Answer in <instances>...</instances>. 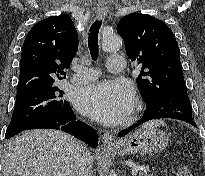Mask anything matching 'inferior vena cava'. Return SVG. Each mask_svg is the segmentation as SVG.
Instances as JSON below:
<instances>
[{
    "label": "inferior vena cava",
    "instance_id": "1",
    "mask_svg": "<svg viewBox=\"0 0 205 176\" xmlns=\"http://www.w3.org/2000/svg\"><path fill=\"white\" fill-rule=\"evenodd\" d=\"M75 176H93L92 161L88 149L79 142L75 148Z\"/></svg>",
    "mask_w": 205,
    "mask_h": 176
}]
</instances>
